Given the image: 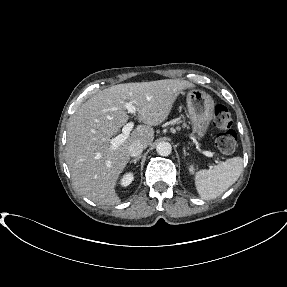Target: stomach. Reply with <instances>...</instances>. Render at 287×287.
Returning <instances> with one entry per match:
<instances>
[{"label":"stomach","instance_id":"0dacf381","mask_svg":"<svg viewBox=\"0 0 287 287\" xmlns=\"http://www.w3.org/2000/svg\"><path fill=\"white\" fill-rule=\"evenodd\" d=\"M187 108L193 133L202 138L206 135L214 113V100L199 89H192L186 96Z\"/></svg>","mask_w":287,"mask_h":287}]
</instances>
